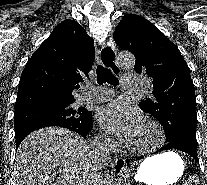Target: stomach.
Segmentation results:
<instances>
[{
  "mask_svg": "<svg viewBox=\"0 0 207 185\" xmlns=\"http://www.w3.org/2000/svg\"><path fill=\"white\" fill-rule=\"evenodd\" d=\"M184 171L181 157L166 152L145 159L138 168L135 180L146 185H170L178 181Z\"/></svg>",
  "mask_w": 207,
  "mask_h": 185,
  "instance_id": "obj_1",
  "label": "stomach"
}]
</instances>
